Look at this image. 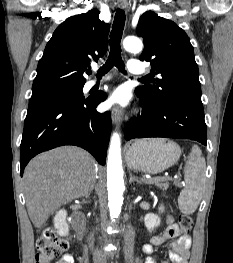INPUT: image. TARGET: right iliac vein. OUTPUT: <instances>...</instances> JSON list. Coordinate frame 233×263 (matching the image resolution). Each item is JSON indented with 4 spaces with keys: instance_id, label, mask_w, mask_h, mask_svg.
<instances>
[{
    "instance_id": "obj_1",
    "label": "right iliac vein",
    "mask_w": 233,
    "mask_h": 263,
    "mask_svg": "<svg viewBox=\"0 0 233 263\" xmlns=\"http://www.w3.org/2000/svg\"><path fill=\"white\" fill-rule=\"evenodd\" d=\"M94 263H102V262L95 261Z\"/></svg>"
}]
</instances>
